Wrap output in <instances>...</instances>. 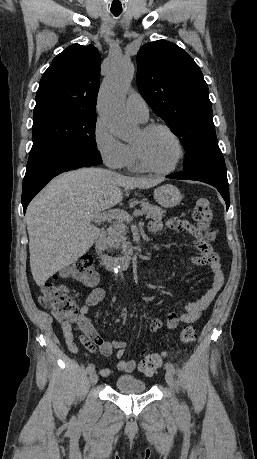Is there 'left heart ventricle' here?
<instances>
[{
    "mask_svg": "<svg viewBox=\"0 0 257 459\" xmlns=\"http://www.w3.org/2000/svg\"><path fill=\"white\" fill-rule=\"evenodd\" d=\"M134 143L142 146L147 160L156 168L170 167L178 156L175 141L163 130H156L148 135L140 130Z\"/></svg>",
    "mask_w": 257,
    "mask_h": 459,
    "instance_id": "obj_1",
    "label": "left heart ventricle"
}]
</instances>
